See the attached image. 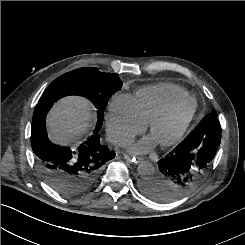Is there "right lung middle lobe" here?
<instances>
[{
	"label": "right lung middle lobe",
	"instance_id": "1",
	"mask_svg": "<svg viewBox=\"0 0 245 245\" xmlns=\"http://www.w3.org/2000/svg\"><path fill=\"white\" fill-rule=\"evenodd\" d=\"M123 86L117 74H107L94 67H84L65 73L55 79L44 91L40 102H55L67 95H80L97 108L96 131L102 126L104 110L110 97Z\"/></svg>",
	"mask_w": 245,
	"mask_h": 245
}]
</instances>
